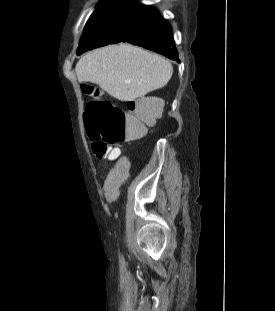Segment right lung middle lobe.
Returning a JSON list of instances; mask_svg holds the SVG:
<instances>
[{"label": "right lung middle lobe", "instance_id": "1", "mask_svg": "<svg viewBox=\"0 0 275 311\" xmlns=\"http://www.w3.org/2000/svg\"><path fill=\"white\" fill-rule=\"evenodd\" d=\"M157 10L137 0H103L88 19L77 55L108 44L121 42L129 31Z\"/></svg>", "mask_w": 275, "mask_h": 311}]
</instances>
